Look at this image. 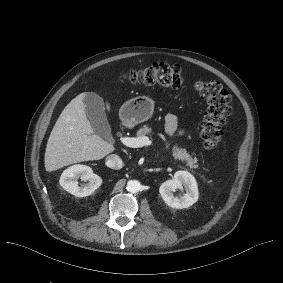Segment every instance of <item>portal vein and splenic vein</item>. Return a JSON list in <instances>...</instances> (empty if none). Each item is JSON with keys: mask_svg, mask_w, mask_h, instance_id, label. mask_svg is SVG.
Returning <instances> with one entry per match:
<instances>
[{"mask_svg": "<svg viewBox=\"0 0 283 283\" xmlns=\"http://www.w3.org/2000/svg\"><path fill=\"white\" fill-rule=\"evenodd\" d=\"M121 142L127 147L140 148L143 146L151 145V140L147 136L142 137H121Z\"/></svg>", "mask_w": 283, "mask_h": 283, "instance_id": "portal-vein-and-splenic-vein-1", "label": "portal vein and splenic vein"}]
</instances>
